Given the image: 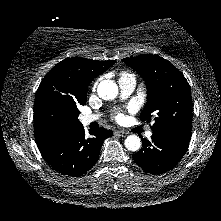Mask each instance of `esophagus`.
Returning <instances> with one entry per match:
<instances>
[{
    "instance_id": "obj_1",
    "label": "esophagus",
    "mask_w": 221,
    "mask_h": 221,
    "mask_svg": "<svg viewBox=\"0 0 221 221\" xmlns=\"http://www.w3.org/2000/svg\"><path fill=\"white\" fill-rule=\"evenodd\" d=\"M114 135L120 136V137H125V136L127 135V133L124 132V131H121V130H116V131L114 132Z\"/></svg>"
}]
</instances>
